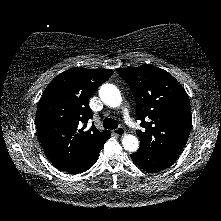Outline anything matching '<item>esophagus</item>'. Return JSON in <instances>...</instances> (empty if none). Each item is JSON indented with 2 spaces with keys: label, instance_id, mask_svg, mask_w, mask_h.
I'll use <instances>...</instances> for the list:
<instances>
[{
  "label": "esophagus",
  "instance_id": "34e87169",
  "mask_svg": "<svg viewBox=\"0 0 221 221\" xmlns=\"http://www.w3.org/2000/svg\"><path fill=\"white\" fill-rule=\"evenodd\" d=\"M113 133L117 136H124L126 134V130L123 127H119L113 130Z\"/></svg>",
  "mask_w": 221,
  "mask_h": 221
}]
</instances>
